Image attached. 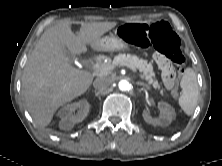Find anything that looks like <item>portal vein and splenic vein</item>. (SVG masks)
Returning <instances> with one entry per match:
<instances>
[{"mask_svg":"<svg viewBox=\"0 0 222 166\" xmlns=\"http://www.w3.org/2000/svg\"><path fill=\"white\" fill-rule=\"evenodd\" d=\"M120 65H125L127 66L128 68H130L133 72L137 73V69L135 66L131 65V64H128V63H122ZM93 69L99 73H102V74H105V73H108L110 70H112L113 68L112 67H105L104 65L102 64H99V63H96L93 65Z\"/></svg>","mask_w":222,"mask_h":166,"instance_id":"obj_1","label":"portal vein and splenic vein"}]
</instances>
